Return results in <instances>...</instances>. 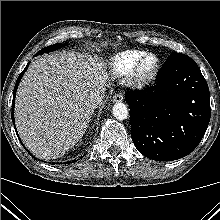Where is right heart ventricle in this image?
Returning <instances> with one entry per match:
<instances>
[{"instance_id": "e07e8e85", "label": "right heart ventricle", "mask_w": 220, "mask_h": 220, "mask_svg": "<svg viewBox=\"0 0 220 220\" xmlns=\"http://www.w3.org/2000/svg\"><path fill=\"white\" fill-rule=\"evenodd\" d=\"M146 53L142 50H126L115 54L108 62L110 72L115 76L128 74L134 64Z\"/></svg>"}]
</instances>
